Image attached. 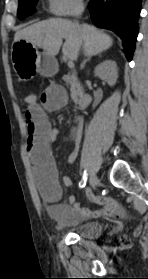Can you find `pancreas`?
Masks as SVG:
<instances>
[{"instance_id": "cf45deb5", "label": "pancreas", "mask_w": 148, "mask_h": 279, "mask_svg": "<svg viewBox=\"0 0 148 279\" xmlns=\"http://www.w3.org/2000/svg\"><path fill=\"white\" fill-rule=\"evenodd\" d=\"M63 80L70 85L71 98L77 102L78 97L81 95V85L75 74L64 75Z\"/></svg>"}]
</instances>
